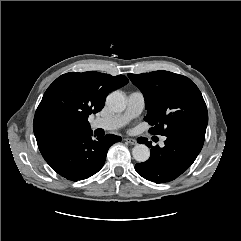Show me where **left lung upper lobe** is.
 I'll use <instances>...</instances> for the list:
<instances>
[{"label": "left lung upper lobe", "mask_w": 241, "mask_h": 241, "mask_svg": "<svg viewBox=\"0 0 241 241\" xmlns=\"http://www.w3.org/2000/svg\"><path fill=\"white\" fill-rule=\"evenodd\" d=\"M144 95V120L155 134L170 136L206 131L208 112L198 87L187 77L168 71L128 74Z\"/></svg>", "instance_id": "left-lung-upper-lobe-1"}]
</instances>
